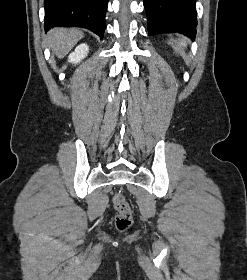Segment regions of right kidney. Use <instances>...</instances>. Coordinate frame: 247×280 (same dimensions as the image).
Returning a JSON list of instances; mask_svg holds the SVG:
<instances>
[{
	"label": "right kidney",
	"mask_w": 247,
	"mask_h": 280,
	"mask_svg": "<svg viewBox=\"0 0 247 280\" xmlns=\"http://www.w3.org/2000/svg\"><path fill=\"white\" fill-rule=\"evenodd\" d=\"M88 51L89 47L87 44H80L76 47L75 51L69 55L68 61L77 64L87 56Z\"/></svg>",
	"instance_id": "obj_1"
}]
</instances>
